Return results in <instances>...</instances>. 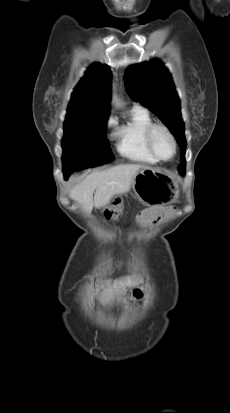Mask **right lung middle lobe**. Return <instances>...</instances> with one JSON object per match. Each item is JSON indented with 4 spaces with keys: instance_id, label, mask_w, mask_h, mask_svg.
<instances>
[{
    "instance_id": "right-lung-middle-lobe-1",
    "label": "right lung middle lobe",
    "mask_w": 230,
    "mask_h": 413,
    "mask_svg": "<svg viewBox=\"0 0 230 413\" xmlns=\"http://www.w3.org/2000/svg\"><path fill=\"white\" fill-rule=\"evenodd\" d=\"M106 121L107 117H104L90 122L64 124V176L113 160L106 139Z\"/></svg>"
}]
</instances>
